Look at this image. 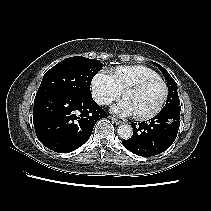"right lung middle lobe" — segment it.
Here are the masks:
<instances>
[{
    "label": "right lung middle lobe",
    "mask_w": 211,
    "mask_h": 211,
    "mask_svg": "<svg viewBox=\"0 0 211 211\" xmlns=\"http://www.w3.org/2000/svg\"><path fill=\"white\" fill-rule=\"evenodd\" d=\"M102 66L100 61L82 56L67 58L45 73L36 97L49 94L92 97L90 84Z\"/></svg>",
    "instance_id": "right-lung-middle-lobe-1"
}]
</instances>
